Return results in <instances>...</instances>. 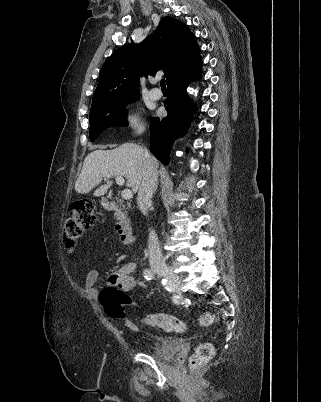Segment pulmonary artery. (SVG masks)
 Instances as JSON below:
<instances>
[{
	"label": "pulmonary artery",
	"mask_w": 321,
	"mask_h": 402,
	"mask_svg": "<svg viewBox=\"0 0 321 402\" xmlns=\"http://www.w3.org/2000/svg\"><path fill=\"white\" fill-rule=\"evenodd\" d=\"M152 84H156V81H153ZM161 95H162L161 91H160L159 89H157V88H152V89H150V91H149V96H150V98L153 99V100H158V99H160V98H161Z\"/></svg>",
	"instance_id": "1"
}]
</instances>
